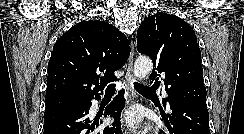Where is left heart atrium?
I'll return each instance as SVG.
<instances>
[{"mask_svg":"<svg viewBox=\"0 0 244 134\" xmlns=\"http://www.w3.org/2000/svg\"><path fill=\"white\" fill-rule=\"evenodd\" d=\"M122 122H124L130 128H138L142 122V114L140 110L130 109L126 111L122 116Z\"/></svg>","mask_w":244,"mask_h":134,"instance_id":"obj_1","label":"left heart atrium"}]
</instances>
